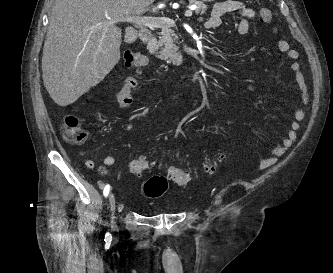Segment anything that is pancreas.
<instances>
[{"label": "pancreas", "instance_id": "obj_1", "mask_svg": "<svg viewBox=\"0 0 333 273\" xmlns=\"http://www.w3.org/2000/svg\"><path fill=\"white\" fill-rule=\"evenodd\" d=\"M189 2L190 4L196 5V13H204L207 9V5L202 1L189 0ZM170 27L163 29L159 34L160 36L155 47V53L159 59L178 66L182 63V55L178 52V37Z\"/></svg>", "mask_w": 333, "mask_h": 273}]
</instances>
